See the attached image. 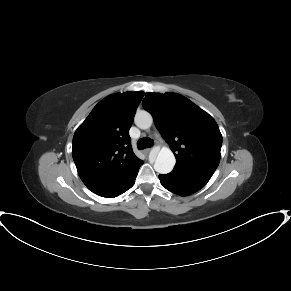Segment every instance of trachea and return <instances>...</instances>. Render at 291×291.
I'll return each instance as SVG.
<instances>
[{
    "instance_id": "obj_1",
    "label": "trachea",
    "mask_w": 291,
    "mask_h": 291,
    "mask_svg": "<svg viewBox=\"0 0 291 291\" xmlns=\"http://www.w3.org/2000/svg\"><path fill=\"white\" fill-rule=\"evenodd\" d=\"M153 143L154 141L151 138L145 137L137 141V147L139 150H143L145 148H150L153 145Z\"/></svg>"
}]
</instances>
